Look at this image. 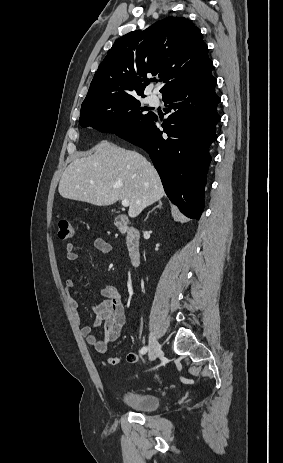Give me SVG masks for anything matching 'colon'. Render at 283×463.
Instances as JSON below:
<instances>
[{"mask_svg": "<svg viewBox=\"0 0 283 463\" xmlns=\"http://www.w3.org/2000/svg\"><path fill=\"white\" fill-rule=\"evenodd\" d=\"M73 236V227L69 220L61 219L58 224V237L62 240L72 238ZM127 361L135 362L137 360L136 356L133 354H127Z\"/></svg>", "mask_w": 283, "mask_h": 463, "instance_id": "1", "label": "colon"}]
</instances>
